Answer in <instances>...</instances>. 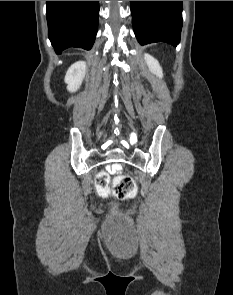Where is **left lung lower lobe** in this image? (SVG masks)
Returning a JSON list of instances; mask_svg holds the SVG:
<instances>
[{"label":"left lung lower lobe","mask_w":233,"mask_h":295,"mask_svg":"<svg viewBox=\"0 0 233 295\" xmlns=\"http://www.w3.org/2000/svg\"><path fill=\"white\" fill-rule=\"evenodd\" d=\"M133 29L141 45L177 46L182 29V1H130Z\"/></svg>","instance_id":"left-lung-lower-lobe-1"}]
</instances>
